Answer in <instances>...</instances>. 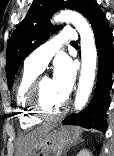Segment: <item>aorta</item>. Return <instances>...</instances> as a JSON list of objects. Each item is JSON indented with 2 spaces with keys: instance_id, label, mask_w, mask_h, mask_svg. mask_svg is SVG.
Listing matches in <instances>:
<instances>
[{
  "instance_id": "aorta-1",
  "label": "aorta",
  "mask_w": 114,
  "mask_h": 156,
  "mask_svg": "<svg viewBox=\"0 0 114 156\" xmlns=\"http://www.w3.org/2000/svg\"><path fill=\"white\" fill-rule=\"evenodd\" d=\"M54 21L70 22L80 34L82 66L74 101L75 110L80 111L88 101L95 79L97 50L93 31L87 20L75 11H61L54 17Z\"/></svg>"
}]
</instances>
